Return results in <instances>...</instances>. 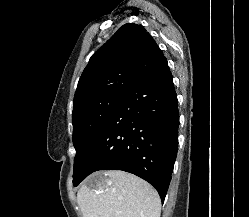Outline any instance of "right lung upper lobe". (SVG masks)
Segmentation results:
<instances>
[{
	"label": "right lung upper lobe",
	"mask_w": 249,
	"mask_h": 217,
	"mask_svg": "<svg viewBox=\"0 0 249 217\" xmlns=\"http://www.w3.org/2000/svg\"><path fill=\"white\" fill-rule=\"evenodd\" d=\"M163 57L142 25H123L90 58L79 79L73 108L105 93L126 94Z\"/></svg>",
	"instance_id": "right-lung-upper-lobe-1"
}]
</instances>
